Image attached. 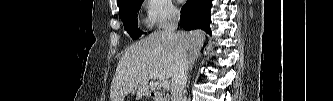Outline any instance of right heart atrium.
Returning <instances> with one entry per match:
<instances>
[{"mask_svg":"<svg viewBox=\"0 0 333 101\" xmlns=\"http://www.w3.org/2000/svg\"><path fill=\"white\" fill-rule=\"evenodd\" d=\"M177 9L170 0H147L145 22L148 26L161 27L176 18Z\"/></svg>","mask_w":333,"mask_h":101,"instance_id":"d8ad5b80","label":"right heart atrium"}]
</instances>
